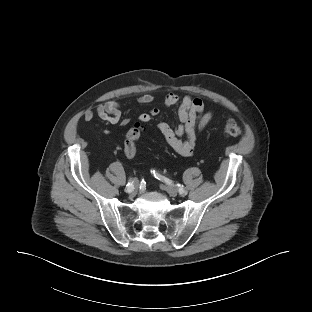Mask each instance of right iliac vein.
<instances>
[{
    "label": "right iliac vein",
    "instance_id": "1",
    "mask_svg": "<svg viewBox=\"0 0 312 312\" xmlns=\"http://www.w3.org/2000/svg\"><path fill=\"white\" fill-rule=\"evenodd\" d=\"M133 184H134V188H135V189H138L139 182H138L137 179H135V180L133 181ZM134 194H135V192H132V195H134Z\"/></svg>",
    "mask_w": 312,
    "mask_h": 312
}]
</instances>
